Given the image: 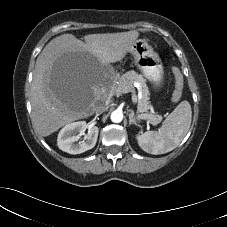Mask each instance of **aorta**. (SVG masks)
Returning <instances> with one entry per match:
<instances>
[{
  "label": "aorta",
  "instance_id": "aorta-1",
  "mask_svg": "<svg viewBox=\"0 0 227 227\" xmlns=\"http://www.w3.org/2000/svg\"><path fill=\"white\" fill-rule=\"evenodd\" d=\"M111 121L114 123H120L123 120V112L121 110H114L111 113Z\"/></svg>",
  "mask_w": 227,
  "mask_h": 227
}]
</instances>
